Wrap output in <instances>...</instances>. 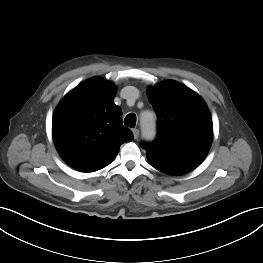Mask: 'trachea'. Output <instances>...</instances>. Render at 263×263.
I'll return each mask as SVG.
<instances>
[{
  "label": "trachea",
  "instance_id": "trachea-1",
  "mask_svg": "<svg viewBox=\"0 0 263 263\" xmlns=\"http://www.w3.org/2000/svg\"><path fill=\"white\" fill-rule=\"evenodd\" d=\"M124 124L128 127H135L136 125V115L134 113L128 114L124 119Z\"/></svg>",
  "mask_w": 263,
  "mask_h": 263
}]
</instances>
